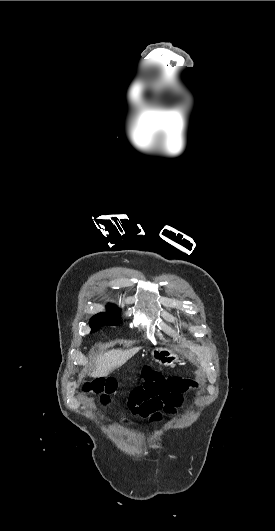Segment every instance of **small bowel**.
<instances>
[{"label": "small bowel", "instance_id": "small-bowel-1", "mask_svg": "<svg viewBox=\"0 0 275 531\" xmlns=\"http://www.w3.org/2000/svg\"><path fill=\"white\" fill-rule=\"evenodd\" d=\"M143 386L138 388L131 396L129 407L135 418H147L151 425L161 426L166 417H176L178 409L184 406L181 395L199 394L200 385L192 384L191 373H165L160 367H151L144 363L140 367ZM164 374V376H163ZM162 376L163 381L162 382ZM118 378L116 375H107L104 388L106 394L101 396L104 409H110L112 396L117 394ZM124 426H132L131 421L124 420Z\"/></svg>", "mask_w": 275, "mask_h": 531}]
</instances>
